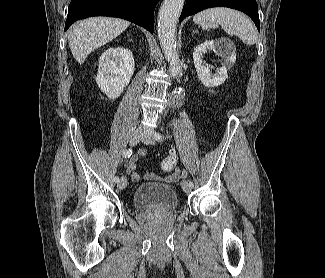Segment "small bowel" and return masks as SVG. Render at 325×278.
<instances>
[{
	"label": "small bowel",
	"instance_id": "small-bowel-1",
	"mask_svg": "<svg viewBox=\"0 0 325 278\" xmlns=\"http://www.w3.org/2000/svg\"><path fill=\"white\" fill-rule=\"evenodd\" d=\"M146 154H147L146 149H140L138 154L136 156L132 157L126 165V173L129 175L130 179L133 182H138L141 178L140 175L136 171L138 159H139V157L145 156ZM185 176H186L185 171L176 170L170 177H167V180L178 181L179 179H181L182 177H185ZM145 177L147 179H155L156 178V176L154 174H148Z\"/></svg>",
	"mask_w": 325,
	"mask_h": 278
}]
</instances>
